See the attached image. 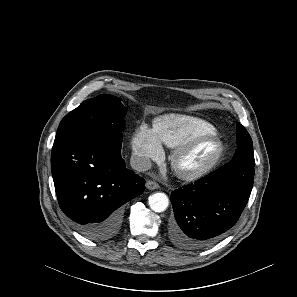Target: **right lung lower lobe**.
<instances>
[{
    "label": "right lung lower lobe",
    "mask_w": 297,
    "mask_h": 297,
    "mask_svg": "<svg viewBox=\"0 0 297 297\" xmlns=\"http://www.w3.org/2000/svg\"><path fill=\"white\" fill-rule=\"evenodd\" d=\"M118 133L103 131L54 141L51 170L61 210L83 236L114 237L126 202L141 195L145 181L125 166Z\"/></svg>",
    "instance_id": "right-lung-lower-lobe-1"
}]
</instances>
